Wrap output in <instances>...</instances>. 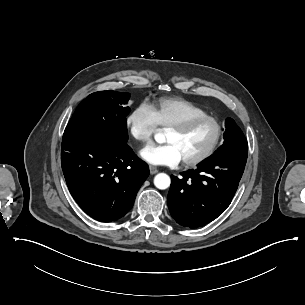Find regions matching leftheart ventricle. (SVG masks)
Wrapping results in <instances>:
<instances>
[{"label": "left heart ventricle", "mask_w": 305, "mask_h": 305, "mask_svg": "<svg viewBox=\"0 0 305 305\" xmlns=\"http://www.w3.org/2000/svg\"><path fill=\"white\" fill-rule=\"evenodd\" d=\"M218 127L213 121H205L186 131L167 129L165 141L174 144L182 160L193 159L203 154L217 138Z\"/></svg>", "instance_id": "b2bd125f"}]
</instances>
